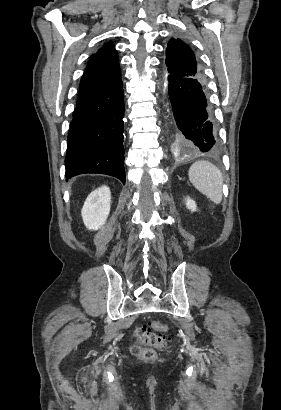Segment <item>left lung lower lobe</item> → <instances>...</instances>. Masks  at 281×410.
<instances>
[{
	"mask_svg": "<svg viewBox=\"0 0 281 410\" xmlns=\"http://www.w3.org/2000/svg\"><path fill=\"white\" fill-rule=\"evenodd\" d=\"M178 141L186 148L214 152L219 148L216 125L205 93V82L165 74Z\"/></svg>",
	"mask_w": 281,
	"mask_h": 410,
	"instance_id": "obj_1",
	"label": "left lung lower lobe"
}]
</instances>
